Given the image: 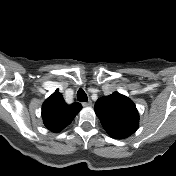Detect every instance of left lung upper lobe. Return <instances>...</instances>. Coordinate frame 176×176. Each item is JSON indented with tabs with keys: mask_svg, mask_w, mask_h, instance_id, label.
Listing matches in <instances>:
<instances>
[{
	"mask_svg": "<svg viewBox=\"0 0 176 176\" xmlns=\"http://www.w3.org/2000/svg\"><path fill=\"white\" fill-rule=\"evenodd\" d=\"M94 110L112 138L124 139L138 129L139 114L135 104L118 92L99 98Z\"/></svg>",
	"mask_w": 176,
	"mask_h": 176,
	"instance_id": "obj_1",
	"label": "left lung upper lobe"
}]
</instances>
